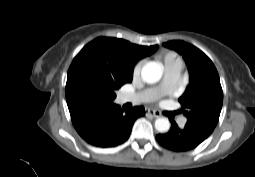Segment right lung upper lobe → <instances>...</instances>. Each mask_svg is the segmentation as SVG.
<instances>
[{"mask_svg":"<svg viewBox=\"0 0 255 177\" xmlns=\"http://www.w3.org/2000/svg\"><path fill=\"white\" fill-rule=\"evenodd\" d=\"M85 48L93 49L111 60L120 61L123 68L133 76L135 63L139 59L153 54L158 45L140 46L119 38L99 37L87 44ZM66 100L69 108L89 99L83 94L67 88Z\"/></svg>","mask_w":255,"mask_h":177,"instance_id":"cb5924a9","label":"right lung upper lobe"}]
</instances>
